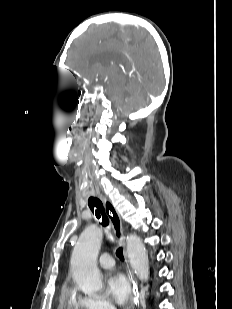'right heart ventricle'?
Returning <instances> with one entry per match:
<instances>
[{"instance_id":"obj_1","label":"right heart ventricle","mask_w":232,"mask_h":309,"mask_svg":"<svg viewBox=\"0 0 232 309\" xmlns=\"http://www.w3.org/2000/svg\"><path fill=\"white\" fill-rule=\"evenodd\" d=\"M63 307H65V309H80L74 298L65 301Z\"/></svg>"}]
</instances>
